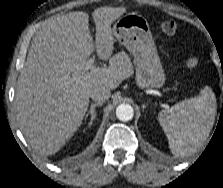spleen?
I'll return each mask as SVG.
<instances>
[{"instance_id":"1","label":"spleen","mask_w":223,"mask_h":188,"mask_svg":"<svg viewBox=\"0 0 223 188\" xmlns=\"http://www.w3.org/2000/svg\"><path fill=\"white\" fill-rule=\"evenodd\" d=\"M216 107L214 93L205 87L198 96L176 103L168 112L158 114L173 154L186 156L200 145L213 126Z\"/></svg>"}]
</instances>
